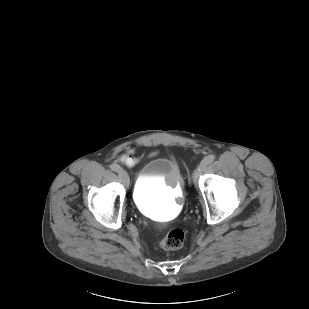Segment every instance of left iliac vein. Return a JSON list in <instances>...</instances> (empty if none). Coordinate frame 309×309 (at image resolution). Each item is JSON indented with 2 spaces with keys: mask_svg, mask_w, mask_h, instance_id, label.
Instances as JSON below:
<instances>
[{
  "mask_svg": "<svg viewBox=\"0 0 309 309\" xmlns=\"http://www.w3.org/2000/svg\"><path fill=\"white\" fill-rule=\"evenodd\" d=\"M206 163L204 161H202L199 166L197 167V169L193 172L192 175V181L196 182L197 179L199 178V176L202 174V172L205 170L206 168Z\"/></svg>",
  "mask_w": 309,
  "mask_h": 309,
  "instance_id": "1",
  "label": "left iliac vein"
}]
</instances>
